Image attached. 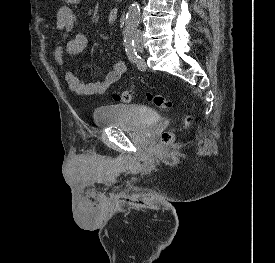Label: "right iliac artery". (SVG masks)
I'll list each match as a JSON object with an SVG mask.
<instances>
[{
  "instance_id": "82829eb1",
  "label": "right iliac artery",
  "mask_w": 275,
  "mask_h": 263,
  "mask_svg": "<svg viewBox=\"0 0 275 263\" xmlns=\"http://www.w3.org/2000/svg\"><path fill=\"white\" fill-rule=\"evenodd\" d=\"M124 45L126 48L127 55L133 63L137 61L139 56L137 55V51L135 49V43H134V29L127 27L124 30Z\"/></svg>"
}]
</instances>
